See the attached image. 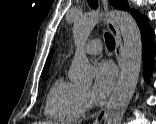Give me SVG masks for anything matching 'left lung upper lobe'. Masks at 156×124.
<instances>
[{"mask_svg": "<svg viewBox=\"0 0 156 124\" xmlns=\"http://www.w3.org/2000/svg\"><path fill=\"white\" fill-rule=\"evenodd\" d=\"M111 4L114 5L115 7L123 10H128L129 6L125 0H110ZM132 11L131 13H133Z\"/></svg>", "mask_w": 156, "mask_h": 124, "instance_id": "obj_1", "label": "left lung upper lobe"}]
</instances>
